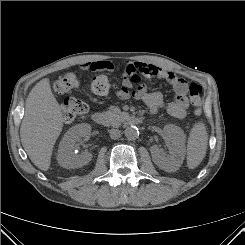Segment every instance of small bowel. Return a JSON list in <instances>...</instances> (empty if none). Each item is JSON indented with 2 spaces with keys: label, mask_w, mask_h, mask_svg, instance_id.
Returning <instances> with one entry per match:
<instances>
[{
  "label": "small bowel",
  "mask_w": 245,
  "mask_h": 245,
  "mask_svg": "<svg viewBox=\"0 0 245 245\" xmlns=\"http://www.w3.org/2000/svg\"><path fill=\"white\" fill-rule=\"evenodd\" d=\"M81 66L82 69L91 71L113 72L115 70V65L108 60L86 62ZM141 78H160L166 80L175 93L174 100L167 105V112L177 119H182L186 116L189 106L187 82L175 73L166 71L157 65L127 61L121 86L114 91L115 97L120 100L129 98L141 100L151 112H155L164 104L163 95L159 91L148 92L144 84H139L135 87V84L139 83Z\"/></svg>",
  "instance_id": "small-bowel-1"
}]
</instances>
